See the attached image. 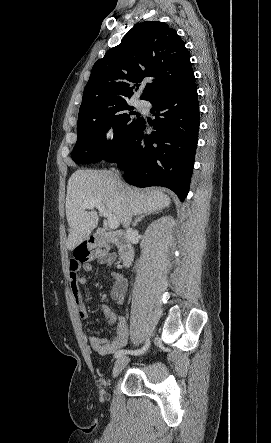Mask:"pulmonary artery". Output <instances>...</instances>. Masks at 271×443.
<instances>
[{
  "instance_id": "obj_1",
  "label": "pulmonary artery",
  "mask_w": 271,
  "mask_h": 443,
  "mask_svg": "<svg viewBox=\"0 0 271 443\" xmlns=\"http://www.w3.org/2000/svg\"><path fill=\"white\" fill-rule=\"evenodd\" d=\"M136 107L138 110L142 111V112H149V103L145 100H138L136 103Z\"/></svg>"
}]
</instances>
